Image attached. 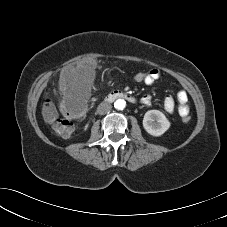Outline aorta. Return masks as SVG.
<instances>
[{
  "label": "aorta",
  "mask_w": 227,
  "mask_h": 227,
  "mask_svg": "<svg viewBox=\"0 0 227 227\" xmlns=\"http://www.w3.org/2000/svg\"><path fill=\"white\" fill-rule=\"evenodd\" d=\"M114 107L117 109V110H123L125 107H126V101L124 99H117L115 102H114Z\"/></svg>",
  "instance_id": "obj_1"
}]
</instances>
